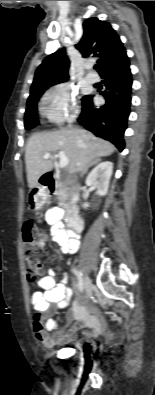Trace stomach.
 <instances>
[{
	"label": "stomach",
	"mask_w": 155,
	"mask_h": 395,
	"mask_svg": "<svg viewBox=\"0 0 155 395\" xmlns=\"http://www.w3.org/2000/svg\"><path fill=\"white\" fill-rule=\"evenodd\" d=\"M48 198V193L39 186L32 188L29 192L28 201L32 208H41Z\"/></svg>",
	"instance_id": "obj_1"
}]
</instances>
